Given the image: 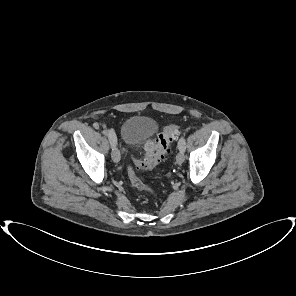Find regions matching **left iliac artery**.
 <instances>
[{
  "label": "left iliac artery",
  "mask_w": 296,
  "mask_h": 296,
  "mask_svg": "<svg viewBox=\"0 0 296 296\" xmlns=\"http://www.w3.org/2000/svg\"><path fill=\"white\" fill-rule=\"evenodd\" d=\"M185 138L184 137H181L178 141V149L179 150H182V151H185Z\"/></svg>",
  "instance_id": "44dca946"
}]
</instances>
